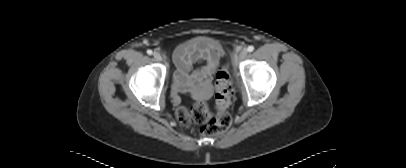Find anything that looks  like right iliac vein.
Segmentation results:
<instances>
[{
  "label": "right iliac vein",
  "instance_id": "right-iliac-vein-1",
  "mask_svg": "<svg viewBox=\"0 0 406 168\" xmlns=\"http://www.w3.org/2000/svg\"><path fill=\"white\" fill-rule=\"evenodd\" d=\"M153 56L155 60L162 61V55L159 52H154Z\"/></svg>",
  "mask_w": 406,
  "mask_h": 168
}]
</instances>
